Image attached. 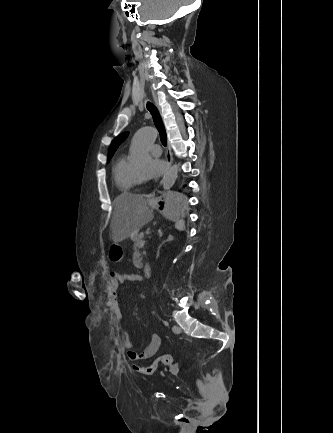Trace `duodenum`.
<instances>
[{
    "instance_id": "1",
    "label": "duodenum",
    "mask_w": 333,
    "mask_h": 433,
    "mask_svg": "<svg viewBox=\"0 0 333 433\" xmlns=\"http://www.w3.org/2000/svg\"><path fill=\"white\" fill-rule=\"evenodd\" d=\"M131 241H132V242H135V241H136V238H135V237H132V238H131ZM143 273H144V276H145L146 278H150V277H151V275H152V267H151V265H150L149 263H145V264H144V266H143Z\"/></svg>"
}]
</instances>
